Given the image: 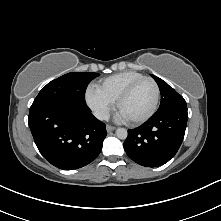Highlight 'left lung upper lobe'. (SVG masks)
Masks as SVG:
<instances>
[{
    "label": "left lung upper lobe",
    "instance_id": "1",
    "mask_svg": "<svg viewBox=\"0 0 221 221\" xmlns=\"http://www.w3.org/2000/svg\"><path fill=\"white\" fill-rule=\"evenodd\" d=\"M152 77L157 82L161 92V103L156 113L177 106H186V101L184 98L179 95L172 87H170L165 81L155 75H152Z\"/></svg>",
    "mask_w": 221,
    "mask_h": 221
}]
</instances>
